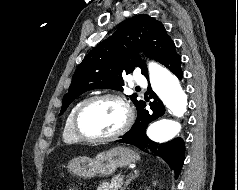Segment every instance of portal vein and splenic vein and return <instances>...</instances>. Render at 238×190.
<instances>
[{
    "mask_svg": "<svg viewBox=\"0 0 238 190\" xmlns=\"http://www.w3.org/2000/svg\"><path fill=\"white\" fill-rule=\"evenodd\" d=\"M119 181H123V177H120V178H119Z\"/></svg>",
    "mask_w": 238,
    "mask_h": 190,
    "instance_id": "1",
    "label": "portal vein and splenic vein"
}]
</instances>
